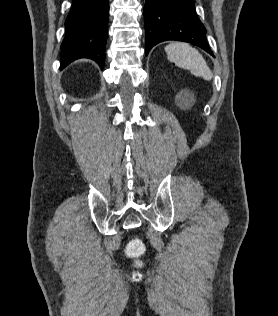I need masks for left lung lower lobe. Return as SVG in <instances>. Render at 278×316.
Returning <instances> with one entry per match:
<instances>
[{"instance_id": "left-lung-lower-lobe-1", "label": "left lung lower lobe", "mask_w": 278, "mask_h": 316, "mask_svg": "<svg viewBox=\"0 0 278 316\" xmlns=\"http://www.w3.org/2000/svg\"><path fill=\"white\" fill-rule=\"evenodd\" d=\"M144 23L146 55L162 41L178 40L196 45L214 57L193 0H146Z\"/></svg>"}]
</instances>
